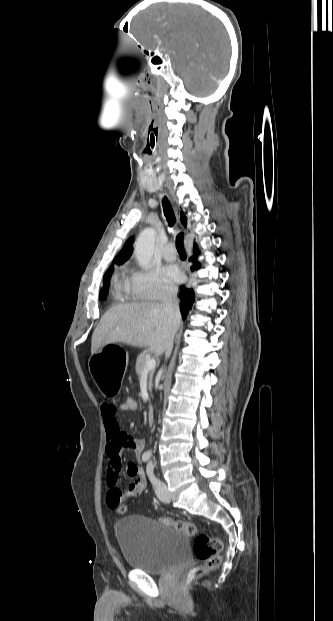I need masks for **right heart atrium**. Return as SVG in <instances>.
<instances>
[{"label": "right heart atrium", "mask_w": 333, "mask_h": 621, "mask_svg": "<svg viewBox=\"0 0 333 621\" xmlns=\"http://www.w3.org/2000/svg\"><path fill=\"white\" fill-rule=\"evenodd\" d=\"M131 287L138 299L145 301L163 300L176 293L175 286L153 267L136 270L131 276Z\"/></svg>", "instance_id": "d8ad5b80"}]
</instances>
